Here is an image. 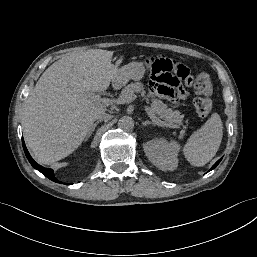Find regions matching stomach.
I'll return each instance as SVG.
<instances>
[{
    "instance_id": "0dacf381",
    "label": "stomach",
    "mask_w": 257,
    "mask_h": 257,
    "mask_svg": "<svg viewBox=\"0 0 257 257\" xmlns=\"http://www.w3.org/2000/svg\"><path fill=\"white\" fill-rule=\"evenodd\" d=\"M142 62H131L121 67L118 71L115 83L117 85H125L130 79L141 80L145 74Z\"/></svg>"
}]
</instances>
